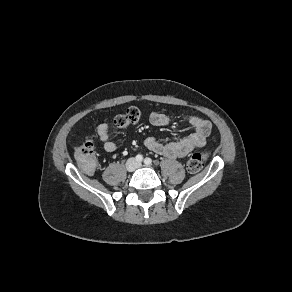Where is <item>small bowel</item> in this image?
I'll return each instance as SVG.
<instances>
[{
    "label": "small bowel",
    "mask_w": 292,
    "mask_h": 292,
    "mask_svg": "<svg viewBox=\"0 0 292 292\" xmlns=\"http://www.w3.org/2000/svg\"><path fill=\"white\" fill-rule=\"evenodd\" d=\"M187 120L193 128L192 133L165 143L160 142L154 137H148L144 140V145L155 153L173 159L183 158L191 151L203 147L207 137L210 135L212 129L211 123L196 114H190ZM150 122L157 127H166L170 124V119L166 114L160 111H154L150 115ZM97 134L106 152L113 153L117 150L116 143L110 140V131L107 124H100L97 127Z\"/></svg>",
    "instance_id": "c3829d8e"
}]
</instances>
